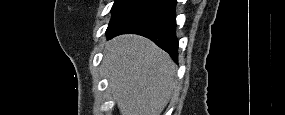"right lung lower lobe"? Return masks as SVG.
Returning a JSON list of instances; mask_svg holds the SVG:
<instances>
[{
  "mask_svg": "<svg viewBox=\"0 0 285 115\" xmlns=\"http://www.w3.org/2000/svg\"><path fill=\"white\" fill-rule=\"evenodd\" d=\"M175 7L176 0H157L121 23L107 34V38L111 39L126 33L145 36L167 51L171 58L177 62L178 41L175 36Z\"/></svg>",
  "mask_w": 285,
  "mask_h": 115,
  "instance_id": "obj_1",
  "label": "right lung lower lobe"
}]
</instances>
